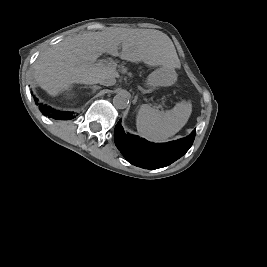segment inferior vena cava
Returning <instances> with one entry per match:
<instances>
[{
  "instance_id": "obj_1",
  "label": "inferior vena cava",
  "mask_w": 267,
  "mask_h": 267,
  "mask_svg": "<svg viewBox=\"0 0 267 267\" xmlns=\"http://www.w3.org/2000/svg\"><path fill=\"white\" fill-rule=\"evenodd\" d=\"M98 83L104 86H112L116 83V79L112 76H103L98 80Z\"/></svg>"
}]
</instances>
